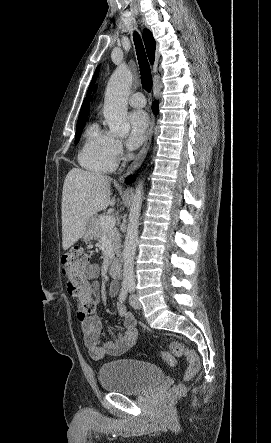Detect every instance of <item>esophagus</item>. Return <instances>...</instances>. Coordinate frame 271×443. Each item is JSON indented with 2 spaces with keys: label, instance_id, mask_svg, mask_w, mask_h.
<instances>
[{
  "label": "esophagus",
  "instance_id": "esophagus-1",
  "mask_svg": "<svg viewBox=\"0 0 271 443\" xmlns=\"http://www.w3.org/2000/svg\"><path fill=\"white\" fill-rule=\"evenodd\" d=\"M154 125H155V119L154 116H152L149 120V128H148V133H147V138L145 140L144 145L142 146L140 152L138 153L137 157L135 158V160L133 161V163L131 164V166L129 167L128 171L129 172H134L135 170H137L141 164L143 163L147 152L150 148L151 145V140H152V136H153V131H154ZM123 177L119 178V182L122 181Z\"/></svg>",
  "mask_w": 271,
  "mask_h": 443
}]
</instances>
